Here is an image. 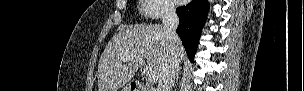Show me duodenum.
Returning a JSON list of instances; mask_svg holds the SVG:
<instances>
[{"label": "duodenum", "instance_id": "410a0bca", "mask_svg": "<svg viewBox=\"0 0 304 91\" xmlns=\"http://www.w3.org/2000/svg\"><path fill=\"white\" fill-rule=\"evenodd\" d=\"M130 91H151L150 89L146 88L142 83L140 82H133L130 85Z\"/></svg>", "mask_w": 304, "mask_h": 91}]
</instances>
